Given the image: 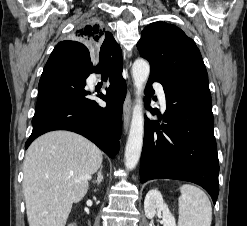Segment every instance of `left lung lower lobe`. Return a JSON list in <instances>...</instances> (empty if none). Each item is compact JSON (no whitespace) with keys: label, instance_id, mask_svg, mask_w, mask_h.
<instances>
[{"label":"left lung lower lobe","instance_id":"0a47b994","mask_svg":"<svg viewBox=\"0 0 247 226\" xmlns=\"http://www.w3.org/2000/svg\"><path fill=\"white\" fill-rule=\"evenodd\" d=\"M154 81L161 83L165 92V124L145 117L140 181L164 178L190 181L202 186L215 204L219 193V163L208 79L183 74L165 81L150 74L145 106L160 121L161 114L150 107Z\"/></svg>","mask_w":247,"mask_h":226}]
</instances>
